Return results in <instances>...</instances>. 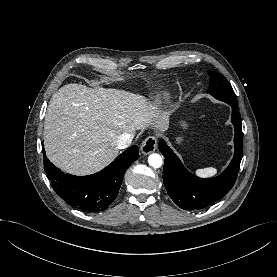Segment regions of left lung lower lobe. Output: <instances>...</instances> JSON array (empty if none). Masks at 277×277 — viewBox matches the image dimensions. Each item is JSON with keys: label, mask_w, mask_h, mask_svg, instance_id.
Here are the masks:
<instances>
[{"label": "left lung lower lobe", "mask_w": 277, "mask_h": 277, "mask_svg": "<svg viewBox=\"0 0 277 277\" xmlns=\"http://www.w3.org/2000/svg\"><path fill=\"white\" fill-rule=\"evenodd\" d=\"M231 107V121L235 128V153L229 166L218 177L202 179L191 174L166 142L159 141V150L165 157L163 169L165 188L170 198L184 210H200L210 206L226 195L236 181L243 156V133L237 106Z\"/></svg>", "instance_id": "0a47b994"}]
</instances>
